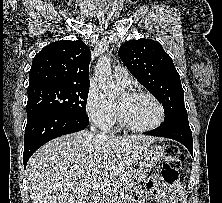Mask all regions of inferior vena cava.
I'll use <instances>...</instances> for the list:
<instances>
[{
  "instance_id": "602c4592",
  "label": "inferior vena cava",
  "mask_w": 222,
  "mask_h": 203,
  "mask_svg": "<svg viewBox=\"0 0 222 203\" xmlns=\"http://www.w3.org/2000/svg\"><path fill=\"white\" fill-rule=\"evenodd\" d=\"M90 130L92 133L96 134L99 138H104L106 135L104 133H97L96 127L94 125H91Z\"/></svg>"
}]
</instances>
